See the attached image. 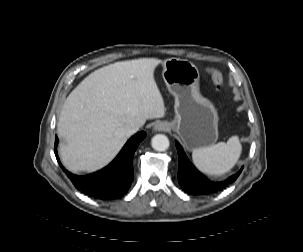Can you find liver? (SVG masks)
<instances>
[{
    "instance_id": "1",
    "label": "liver",
    "mask_w": 303,
    "mask_h": 252,
    "mask_svg": "<svg viewBox=\"0 0 303 252\" xmlns=\"http://www.w3.org/2000/svg\"><path fill=\"white\" fill-rule=\"evenodd\" d=\"M162 62L140 58L115 62L89 74L67 97L57 124L65 141L59 147L71 172H93L109 164L125 144L123 128L143 126L165 115L163 97L154 79Z\"/></svg>"
}]
</instances>
